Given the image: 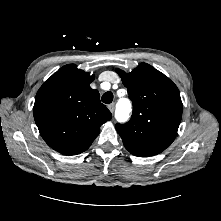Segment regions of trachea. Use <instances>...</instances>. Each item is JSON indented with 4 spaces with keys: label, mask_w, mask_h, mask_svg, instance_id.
<instances>
[{
    "label": "trachea",
    "mask_w": 221,
    "mask_h": 221,
    "mask_svg": "<svg viewBox=\"0 0 221 221\" xmlns=\"http://www.w3.org/2000/svg\"><path fill=\"white\" fill-rule=\"evenodd\" d=\"M102 102L105 104H110L113 101V93L108 91L102 95Z\"/></svg>",
    "instance_id": "3493384b"
}]
</instances>
